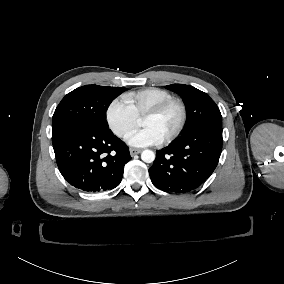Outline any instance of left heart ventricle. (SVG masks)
<instances>
[{
  "label": "left heart ventricle",
  "mask_w": 284,
  "mask_h": 284,
  "mask_svg": "<svg viewBox=\"0 0 284 284\" xmlns=\"http://www.w3.org/2000/svg\"><path fill=\"white\" fill-rule=\"evenodd\" d=\"M179 118V110L177 107H172L165 113L157 117H143L140 124L143 127L152 129L158 137L163 140L175 128Z\"/></svg>",
  "instance_id": "b2bd125f"
}]
</instances>
